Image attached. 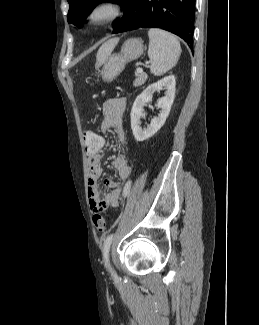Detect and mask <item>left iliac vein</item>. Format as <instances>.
<instances>
[{
	"instance_id": "4c4485c4",
	"label": "left iliac vein",
	"mask_w": 259,
	"mask_h": 325,
	"mask_svg": "<svg viewBox=\"0 0 259 325\" xmlns=\"http://www.w3.org/2000/svg\"><path fill=\"white\" fill-rule=\"evenodd\" d=\"M111 274H112V276H116V273L112 267H111Z\"/></svg>"
}]
</instances>
